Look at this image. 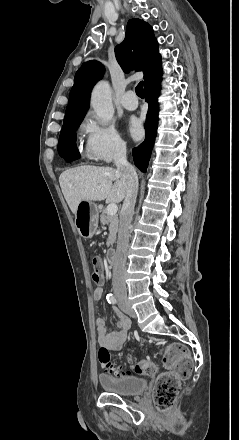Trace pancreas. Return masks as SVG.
Returning a JSON list of instances; mask_svg holds the SVG:
<instances>
[{
    "mask_svg": "<svg viewBox=\"0 0 239 440\" xmlns=\"http://www.w3.org/2000/svg\"><path fill=\"white\" fill-rule=\"evenodd\" d=\"M102 214L100 216V222L102 226H106L108 224L109 228V236L107 238L106 246L109 248V246H113L115 244L117 232H118V218L115 214V216H109L107 214V210H101Z\"/></svg>",
    "mask_w": 239,
    "mask_h": 440,
    "instance_id": "obj_1",
    "label": "pancreas"
}]
</instances>
